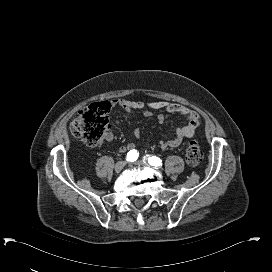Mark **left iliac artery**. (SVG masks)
<instances>
[{
  "label": "left iliac artery",
  "mask_w": 272,
  "mask_h": 272,
  "mask_svg": "<svg viewBox=\"0 0 272 272\" xmlns=\"http://www.w3.org/2000/svg\"><path fill=\"white\" fill-rule=\"evenodd\" d=\"M148 163L154 167L162 166V161L156 156H151L148 158Z\"/></svg>",
  "instance_id": "44dca946"
}]
</instances>
